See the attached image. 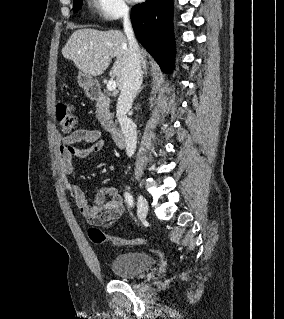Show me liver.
I'll return each mask as SVG.
<instances>
[{
  "label": "liver",
  "instance_id": "6515ba94",
  "mask_svg": "<svg viewBox=\"0 0 284 319\" xmlns=\"http://www.w3.org/2000/svg\"><path fill=\"white\" fill-rule=\"evenodd\" d=\"M140 54L142 67L147 74V53L142 49ZM62 55L91 77L104 73L112 58L116 57L109 74L116 77L117 86L121 89L129 62L128 41L122 32L78 29L62 48Z\"/></svg>",
  "mask_w": 284,
  "mask_h": 319
}]
</instances>
